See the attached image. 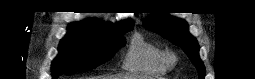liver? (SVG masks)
I'll list each match as a JSON object with an SVG mask.
<instances>
[{
    "instance_id": "6515ba94",
    "label": "liver",
    "mask_w": 255,
    "mask_h": 79,
    "mask_svg": "<svg viewBox=\"0 0 255 79\" xmlns=\"http://www.w3.org/2000/svg\"><path fill=\"white\" fill-rule=\"evenodd\" d=\"M91 79H145V77L134 75H118V76H97Z\"/></svg>"
}]
</instances>
